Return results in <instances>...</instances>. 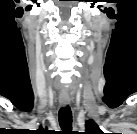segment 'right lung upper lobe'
Instances as JSON below:
<instances>
[{"label":"right lung upper lobe","instance_id":"obj_1","mask_svg":"<svg viewBox=\"0 0 137 134\" xmlns=\"http://www.w3.org/2000/svg\"><path fill=\"white\" fill-rule=\"evenodd\" d=\"M46 132H48V130H47V129H43L42 127L39 128V129L36 131V133H38V134H43V133H46Z\"/></svg>","mask_w":137,"mask_h":134}]
</instances>
